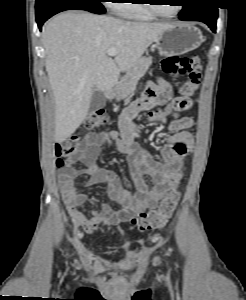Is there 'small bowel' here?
<instances>
[{"label":"small bowel","instance_id":"small-bowel-1","mask_svg":"<svg viewBox=\"0 0 246 300\" xmlns=\"http://www.w3.org/2000/svg\"><path fill=\"white\" fill-rule=\"evenodd\" d=\"M171 94L172 86L168 81L162 78L150 81L142 97L121 113L118 121L120 134L116 131L87 134L76 158L84 168L78 169L68 163L59 169L58 183L74 225L93 233L101 226L120 224L134 213L153 208L169 188L178 185L183 175L185 157L193 150L194 140L189 131L194 125L193 119L181 116L169 123L168 130L172 135L162 148L160 160L138 148L134 142L132 124L135 115L163 104L165 99L170 102L171 111L176 113L192 106L189 97L171 98ZM113 143L119 152L130 158L134 195L122 185L116 171L100 168L96 163L101 149ZM81 175L89 177L87 186L105 184L108 197L122 209L117 211L110 204H103L93 209L89 218L84 216L79 207L87 197L75 187V179ZM145 175L151 176L153 186L144 182Z\"/></svg>","mask_w":246,"mask_h":300}]
</instances>
